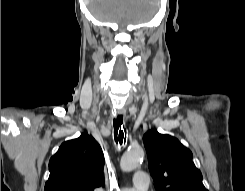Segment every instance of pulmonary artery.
Returning a JSON list of instances; mask_svg holds the SVG:
<instances>
[{"label":"pulmonary artery","mask_w":245,"mask_h":191,"mask_svg":"<svg viewBox=\"0 0 245 191\" xmlns=\"http://www.w3.org/2000/svg\"><path fill=\"white\" fill-rule=\"evenodd\" d=\"M133 186L129 188H122L119 191H147L150 179L145 171H137L133 175Z\"/></svg>","instance_id":"1"}]
</instances>
